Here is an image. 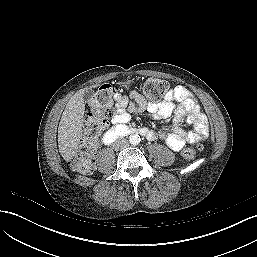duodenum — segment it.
Wrapping results in <instances>:
<instances>
[{"label":"duodenum","mask_w":257,"mask_h":257,"mask_svg":"<svg viewBox=\"0 0 257 257\" xmlns=\"http://www.w3.org/2000/svg\"><path fill=\"white\" fill-rule=\"evenodd\" d=\"M148 135L149 131L146 128H135V127H128L125 125H116L109 129L104 137L103 141L106 145L112 144L115 140L125 135Z\"/></svg>","instance_id":"obj_1"}]
</instances>
